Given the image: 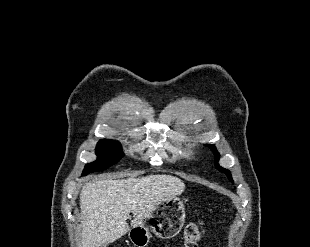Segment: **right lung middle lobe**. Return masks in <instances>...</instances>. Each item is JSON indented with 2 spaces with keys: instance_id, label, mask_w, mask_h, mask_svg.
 <instances>
[{
  "instance_id": "dd1d6c3e",
  "label": "right lung middle lobe",
  "mask_w": 310,
  "mask_h": 247,
  "mask_svg": "<svg viewBox=\"0 0 310 247\" xmlns=\"http://www.w3.org/2000/svg\"><path fill=\"white\" fill-rule=\"evenodd\" d=\"M98 159L85 166L82 175L107 169L116 164L123 156L120 144L116 141L103 139L100 140L96 147Z\"/></svg>"
}]
</instances>
